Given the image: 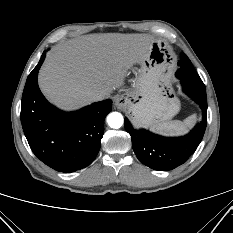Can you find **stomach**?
Instances as JSON below:
<instances>
[{
    "instance_id": "0dacf381",
    "label": "stomach",
    "mask_w": 233,
    "mask_h": 233,
    "mask_svg": "<svg viewBox=\"0 0 233 233\" xmlns=\"http://www.w3.org/2000/svg\"><path fill=\"white\" fill-rule=\"evenodd\" d=\"M138 75L124 96L137 126L149 127L172 119L180 103L171 86L174 55L162 40L152 42L148 56L138 63Z\"/></svg>"
}]
</instances>
